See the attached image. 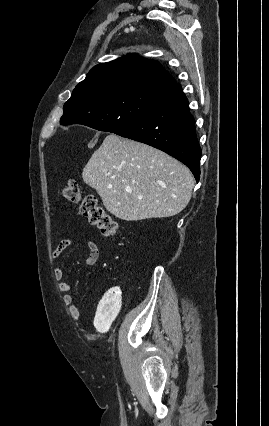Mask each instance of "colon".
<instances>
[{
    "label": "colon",
    "mask_w": 269,
    "mask_h": 426,
    "mask_svg": "<svg viewBox=\"0 0 269 426\" xmlns=\"http://www.w3.org/2000/svg\"><path fill=\"white\" fill-rule=\"evenodd\" d=\"M61 196L64 200L78 205L79 213L88 222L97 227L103 236H115L118 234V223L106 212L93 195L82 196L78 183L68 180L61 188Z\"/></svg>",
    "instance_id": "colon-1"
}]
</instances>
